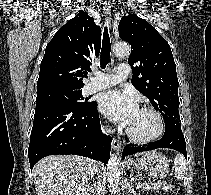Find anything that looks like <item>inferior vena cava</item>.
Segmentation results:
<instances>
[{
    "label": "inferior vena cava",
    "instance_id": "inferior-vena-cava-1",
    "mask_svg": "<svg viewBox=\"0 0 211 195\" xmlns=\"http://www.w3.org/2000/svg\"><path fill=\"white\" fill-rule=\"evenodd\" d=\"M103 132H107V129H103ZM98 172V164L95 162L91 163V178Z\"/></svg>",
    "mask_w": 211,
    "mask_h": 195
}]
</instances>
